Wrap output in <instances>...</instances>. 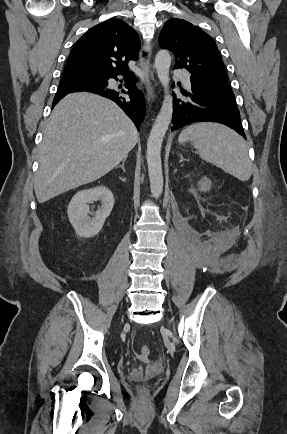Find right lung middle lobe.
<instances>
[{"label":"right lung middle lobe","mask_w":287,"mask_h":434,"mask_svg":"<svg viewBox=\"0 0 287 434\" xmlns=\"http://www.w3.org/2000/svg\"><path fill=\"white\" fill-rule=\"evenodd\" d=\"M65 78L73 81L102 82L105 80L106 77L95 74H72L65 76Z\"/></svg>","instance_id":"1"}]
</instances>
